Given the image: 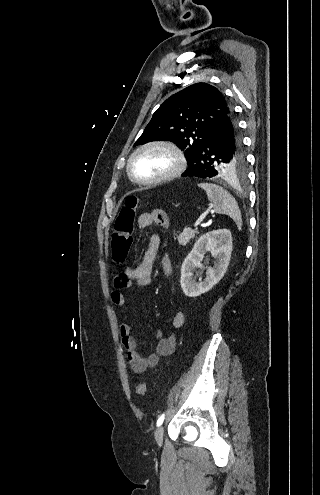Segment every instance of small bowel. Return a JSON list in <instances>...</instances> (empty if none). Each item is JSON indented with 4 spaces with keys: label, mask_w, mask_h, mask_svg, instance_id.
Instances as JSON below:
<instances>
[{
    "label": "small bowel",
    "mask_w": 320,
    "mask_h": 495,
    "mask_svg": "<svg viewBox=\"0 0 320 495\" xmlns=\"http://www.w3.org/2000/svg\"><path fill=\"white\" fill-rule=\"evenodd\" d=\"M154 224H167L166 215L159 210L143 213L138 218V225L142 229L149 228ZM160 246V237L156 234L150 238L148 249L143 259L133 267L126 268L123 272L114 277V290L111 293V300L117 306H124L125 297L122 289L131 286L133 283L137 286H147L151 282L153 263L155 261ZM162 270L165 276L169 277L172 273V263L169 257L162 260ZM185 316L181 310H178L171 321L173 329L177 330L183 327ZM122 344L126 350L130 368L135 373H143L148 368L157 366L163 357L169 356L174 352L176 340L174 335L163 336L159 331L156 332L155 352L147 356H141L138 351L137 342L132 334L129 324H122L119 329Z\"/></svg>",
    "instance_id": "obj_1"
}]
</instances>
